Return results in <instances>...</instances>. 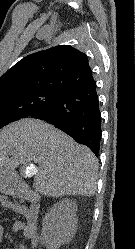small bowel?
Wrapping results in <instances>:
<instances>
[{
  "label": "small bowel",
  "instance_id": "c3829d8e",
  "mask_svg": "<svg viewBox=\"0 0 135 249\" xmlns=\"http://www.w3.org/2000/svg\"><path fill=\"white\" fill-rule=\"evenodd\" d=\"M0 207L8 210H12L24 217L25 220H17L13 224V230L15 232H21L31 244L29 247L22 245L19 249H35L38 244L37 233V207L25 206L22 204H16L12 202L7 196L0 195ZM4 227L0 224V245L4 240ZM9 249V248H6Z\"/></svg>",
  "mask_w": 135,
  "mask_h": 249
}]
</instances>
